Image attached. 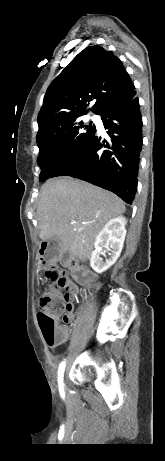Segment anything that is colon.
Returning a JSON list of instances; mask_svg holds the SVG:
<instances>
[{"instance_id": "5ec220e1", "label": "colon", "mask_w": 165, "mask_h": 461, "mask_svg": "<svg viewBox=\"0 0 165 461\" xmlns=\"http://www.w3.org/2000/svg\"><path fill=\"white\" fill-rule=\"evenodd\" d=\"M40 267L51 281V286L39 299L37 318L45 341L48 345L54 346L61 338L56 318L60 317L61 313H68L70 309H65L62 302V292L68 290V281L63 278L62 271L57 264L55 246L51 242L42 244Z\"/></svg>"}]
</instances>
